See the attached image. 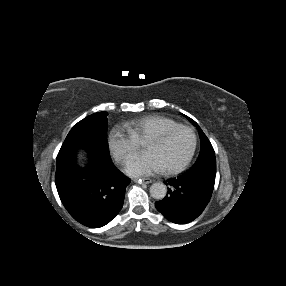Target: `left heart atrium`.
Returning a JSON list of instances; mask_svg holds the SVG:
<instances>
[{
  "instance_id": "obj_1",
  "label": "left heart atrium",
  "mask_w": 286,
  "mask_h": 286,
  "mask_svg": "<svg viewBox=\"0 0 286 286\" xmlns=\"http://www.w3.org/2000/svg\"><path fill=\"white\" fill-rule=\"evenodd\" d=\"M161 170V164L150 151L132 156L126 164L127 173L133 176H144Z\"/></svg>"
}]
</instances>
